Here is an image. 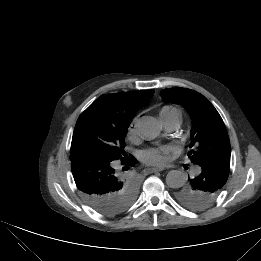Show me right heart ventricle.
Segmentation results:
<instances>
[{
  "label": "right heart ventricle",
  "mask_w": 261,
  "mask_h": 261,
  "mask_svg": "<svg viewBox=\"0 0 261 261\" xmlns=\"http://www.w3.org/2000/svg\"><path fill=\"white\" fill-rule=\"evenodd\" d=\"M173 112H178V110L176 108L172 107V106H164L160 110V117L169 115Z\"/></svg>",
  "instance_id": "1"
}]
</instances>
